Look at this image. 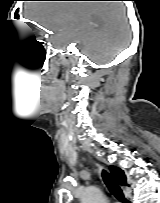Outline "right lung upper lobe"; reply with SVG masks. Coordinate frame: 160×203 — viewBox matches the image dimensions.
Masks as SVG:
<instances>
[{"mask_svg":"<svg viewBox=\"0 0 160 203\" xmlns=\"http://www.w3.org/2000/svg\"><path fill=\"white\" fill-rule=\"evenodd\" d=\"M110 171L112 176L114 177L115 181L120 184V185H128L126 182V176L124 174V172L114 166H110Z\"/></svg>","mask_w":160,"mask_h":203,"instance_id":"right-lung-upper-lobe-1","label":"right lung upper lobe"}]
</instances>
